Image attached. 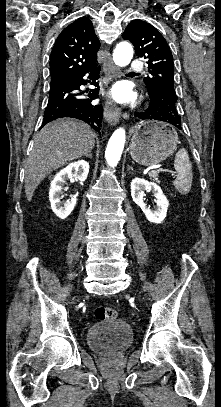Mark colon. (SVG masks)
I'll return each instance as SVG.
<instances>
[{
    "label": "colon",
    "mask_w": 221,
    "mask_h": 407,
    "mask_svg": "<svg viewBox=\"0 0 221 407\" xmlns=\"http://www.w3.org/2000/svg\"><path fill=\"white\" fill-rule=\"evenodd\" d=\"M95 317L99 321H104V320H114L117 316V313L114 309L109 308V307H97L95 309Z\"/></svg>",
    "instance_id": "1"
}]
</instances>
